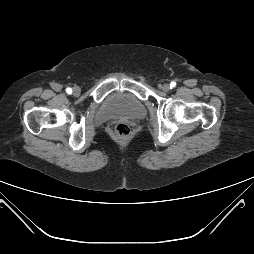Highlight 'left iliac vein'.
<instances>
[{"label": "left iliac vein", "mask_w": 254, "mask_h": 254, "mask_svg": "<svg viewBox=\"0 0 254 254\" xmlns=\"http://www.w3.org/2000/svg\"><path fill=\"white\" fill-rule=\"evenodd\" d=\"M162 90L164 92H168L170 90V86L168 84H164L163 87H162Z\"/></svg>", "instance_id": "4c4485c4"}]
</instances>
